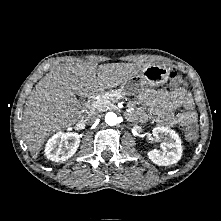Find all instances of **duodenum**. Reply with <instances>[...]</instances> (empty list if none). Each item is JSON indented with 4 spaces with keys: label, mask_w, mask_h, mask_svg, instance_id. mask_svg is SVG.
Segmentation results:
<instances>
[{
    "label": "duodenum",
    "mask_w": 221,
    "mask_h": 221,
    "mask_svg": "<svg viewBox=\"0 0 221 221\" xmlns=\"http://www.w3.org/2000/svg\"><path fill=\"white\" fill-rule=\"evenodd\" d=\"M95 98H96V93H91L89 96H88V98H87V100H88V102H93L94 100H95Z\"/></svg>",
    "instance_id": "obj_1"
}]
</instances>
